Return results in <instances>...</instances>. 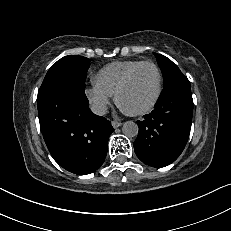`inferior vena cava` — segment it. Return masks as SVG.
Returning a JSON list of instances; mask_svg holds the SVG:
<instances>
[{
    "label": "inferior vena cava",
    "mask_w": 231,
    "mask_h": 231,
    "mask_svg": "<svg viewBox=\"0 0 231 231\" xmlns=\"http://www.w3.org/2000/svg\"><path fill=\"white\" fill-rule=\"evenodd\" d=\"M91 111L96 115H105L107 113V107L104 104L95 103L91 105Z\"/></svg>",
    "instance_id": "obj_1"
}]
</instances>
